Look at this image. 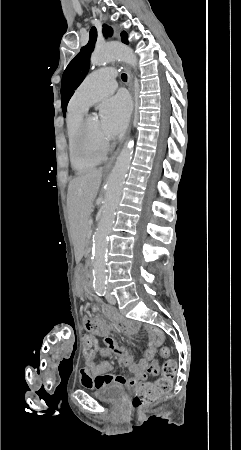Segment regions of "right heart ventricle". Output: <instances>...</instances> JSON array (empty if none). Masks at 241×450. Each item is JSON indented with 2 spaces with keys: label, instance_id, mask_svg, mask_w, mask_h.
Segmentation results:
<instances>
[{
  "label": "right heart ventricle",
  "instance_id": "e07e8e85",
  "mask_svg": "<svg viewBox=\"0 0 241 450\" xmlns=\"http://www.w3.org/2000/svg\"><path fill=\"white\" fill-rule=\"evenodd\" d=\"M87 108L88 107L82 103L72 102L69 106L68 115H67V134H68V139H69L71 162H72L73 166L79 170L94 166L101 159V158H94L93 162H89V161H87L88 158H85L84 162H79L78 161L79 153L78 154L75 153V151H74L75 149L73 148V145L75 144L72 140L73 137L75 136L74 127H75L76 123L85 116ZM86 124H88V123L86 122ZM106 125L108 126V124H106Z\"/></svg>",
  "mask_w": 241,
  "mask_h": 450
}]
</instances>
